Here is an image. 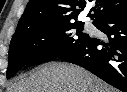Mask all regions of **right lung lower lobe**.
<instances>
[{
  "label": "right lung lower lobe",
  "mask_w": 127,
  "mask_h": 92,
  "mask_svg": "<svg viewBox=\"0 0 127 92\" xmlns=\"http://www.w3.org/2000/svg\"><path fill=\"white\" fill-rule=\"evenodd\" d=\"M108 40L91 38L58 58L77 64L127 92V9L93 23Z\"/></svg>",
  "instance_id": "1"
}]
</instances>
